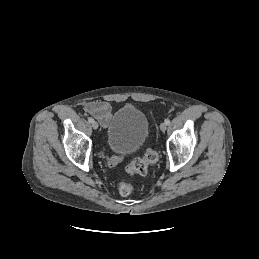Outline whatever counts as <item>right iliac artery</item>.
Instances as JSON below:
<instances>
[{"instance_id": "right-iliac-artery-1", "label": "right iliac artery", "mask_w": 259, "mask_h": 259, "mask_svg": "<svg viewBox=\"0 0 259 259\" xmlns=\"http://www.w3.org/2000/svg\"><path fill=\"white\" fill-rule=\"evenodd\" d=\"M88 122L89 123H92L93 122V119L90 117V118H88Z\"/></svg>"}]
</instances>
